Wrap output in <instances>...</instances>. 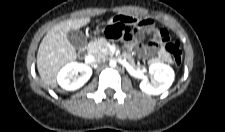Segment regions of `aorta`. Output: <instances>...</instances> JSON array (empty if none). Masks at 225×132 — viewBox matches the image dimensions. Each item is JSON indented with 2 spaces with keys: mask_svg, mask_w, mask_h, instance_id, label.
Instances as JSON below:
<instances>
[{
  "mask_svg": "<svg viewBox=\"0 0 225 132\" xmlns=\"http://www.w3.org/2000/svg\"><path fill=\"white\" fill-rule=\"evenodd\" d=\"M109 65H110L111 67L116 66V61H115V60H110Z\"/></svg>",
  "mask_w": 225,
  "mask_h": 132,
  "instance_id": "obj_1",
  "label": "aorta"
}]
</instances>
